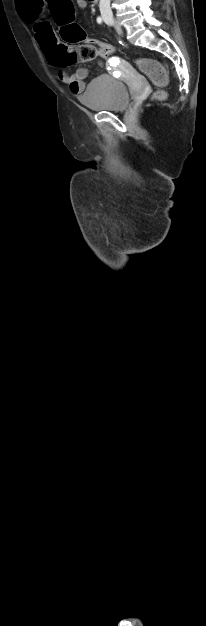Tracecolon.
<instances>
[{
    "mask_svg": "<svg viewBox=\"0 0 206 626\" xmlns=\"http://www.w3.org/2000/svg\"><path fill=\"white\" fill-rule=\"evenodd\" d=\"M47 2L52 9L56 24L60 27V35L64 41L56 49L55 63L57 65L67 66L76 62H88L100 55L111 54L115 51L113 47L104 43L86 40L85 32L74 22V8L71 0H47ZM43 28L47 29L48 26L44 25ZM138 65L156 86L163 87L167 83V74L158 62L140 60ZM164 97L162 90L154 94L156 100H163Z\"/></svg>",
    "mask_w": 206,
    "mask_h": 626,
    "instance_id": "colon-1",
    "label": "colon"
}]
</instances>
